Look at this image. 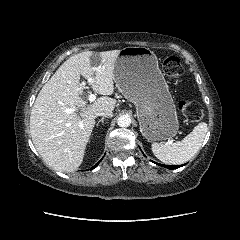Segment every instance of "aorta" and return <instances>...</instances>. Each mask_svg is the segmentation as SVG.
I'll list each match as a JSON object with an SVG mask.
<instances>
[{
    "label": "aorta",
    "mask_w": 240,
    "mask_h": 240,
    "mask_svg": "<svg viewBox=\"0 0 240 240\" xmlns=\"http://www.w3.org/2000/svg\"><path fill=\"white\" fill-rule=\"evenodd\" d=\"M117 124L120 127H128L131 124V118L129 115H121L118 119H117Z\"/></svg>",
    "instance_id": "762f6f07"
}]
</instances>
